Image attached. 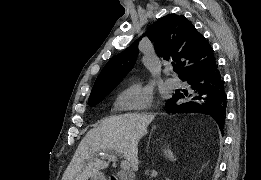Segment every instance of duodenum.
Returning a JSON list of instances; mask_svg holds the SVG:
<instances>
[{
	"label": "duodenum",
	"mask_w": 261,
	"mask_h": 180,
	"mask_svg": "<svg viewBox=\"0 0 261 180\" xmlns=\"http://www.w3.org/2000/svg\"><path fill=\"white\" fill-rule=\"evenodd\" d=\"M109 180H116V177L115 176H110Z\"/></svg>",
	"instance_id": "duodenum-1"
}]
</instances>
